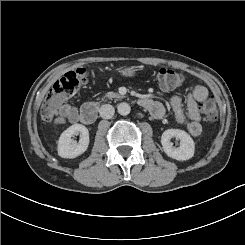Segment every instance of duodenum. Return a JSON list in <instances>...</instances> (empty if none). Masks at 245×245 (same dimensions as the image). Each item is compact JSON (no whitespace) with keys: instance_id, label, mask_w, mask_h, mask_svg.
<instances>
[{"instance_id":"410a0bca","label":"duodenum","mask_w":245,"mask_h":245,"mask_svg":"<svg viewBox=\"0 0 245 245\" xmlns=\"http://www.w3.org/2000/svg\"><path fill=\"white\" fill-rule=\"evenodd\" d=\"M140 104L144 106L147 104V101L143 99L140 101ZM97 116H98V105L94 102L86 103L85 105H83V107L79 112L80 120L84 124L94 123L97 119Z\"/></svg>"}]
</instances>
